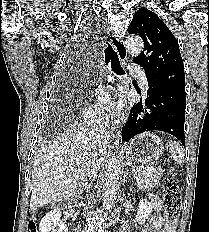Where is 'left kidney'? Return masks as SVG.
I'll return each instance as SVG.
<instances>
[{"mask_svg":"<svg viewBox=\"0 0 209 232\" xmlns=\"http://www.w3.org/2000/svg\"><path fill=\"white\" fill-rule=\"evenodd\" d=\"M151 212H152V204L148 202L146 199H142L139 202L138 212L137 215L135 216V220L139 224H144L145 220L148 218Z\"/></svg>","mask_w":209,"mask_h":232,"instance_id":"5707ae66","label":"left kidney"}]
</instances>
